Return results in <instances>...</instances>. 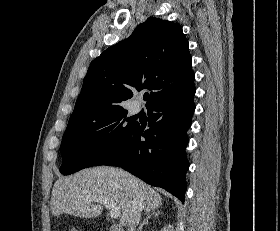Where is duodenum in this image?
Instances as JSON below:
<instances>
[{"mask_svg":"<svg viewBox=\"0 0 280 231\" xmlns=\"http://www.w3.org/2000/svg\"><path fill=\"white\" fill-rule=\"evenodd\" d=\"M108 230L109 231H123V228L118 225H110Z\"/></svg>","mask_w":280,"mask_h":231,"instance_id":"duodenum-1","label":"duodenum"}]
</instances>
